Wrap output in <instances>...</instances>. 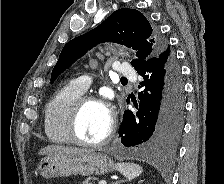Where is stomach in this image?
<instances>
[{"mask_svg": "<svg viewBox=\"0 0 224 184\" xmlns=\"http://www.w3.org/2000/svg\"><path fill=\"white\" fill-rule=\"evenodd\" d=\"M114 169V163L106 154L91 151L46 157L38 166L39 174L46 179L70 175H104Z\"/></svg>", "mask_w": 224, "mask_h": 184, "instance_id": "obj_1", "label": "stomach"}]
</instances>
